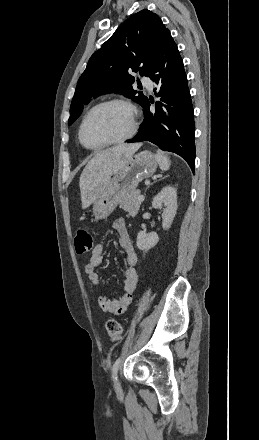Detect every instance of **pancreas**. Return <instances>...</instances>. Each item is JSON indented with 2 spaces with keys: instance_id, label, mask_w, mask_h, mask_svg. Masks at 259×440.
Listing matches in <instances>:
<instances>
[{
  "instance_id": "1",
  "label": "pancreas",
  "mask_w": 259,
  "mask_h": 440,
  "mask_svg": "<svg viewBox=\"0 0 259 440\" xmlns=\"http://www.w3.org/2000/svg\"><path fill=\"white\" fill-rule=\"evenodd\" d=\"M140 195L139 190H134L127 196H125L120 201V208H122L124 211L128 212L129 215L135 216L138 213V210L141 205V201H138V196Z\"/></svg>"
}]
</instances>
